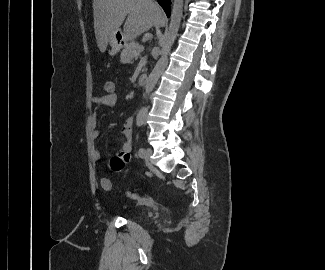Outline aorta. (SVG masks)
<instances>
[{
	"label": "aorta",
	"instance_id": "762f6f07",
	"mask_svg": "<svg viewBox=\"0 0 325 270\" xmlns=\"http://www.w3.org/2000/svg\"><path fill=\"white\" fill-rule=\"evenodd\" d=\"M182 16H183V0H174L172 12H171L169 30L167 33L166 41L162 47L161 58L158 60L156 66L154 67L153 71L151 72V74L149 75L146 81L145 93L147 95H149L153 91L159 77L161 76V74L163 73L164 69L167 66L168 55L178 35ZM147 113H148V108L143 107L139 111L137 118L143 120L147 116Z\"/></svg>",
	"mask_w": 325,
	"mask_h": 270
}]
</instances>
